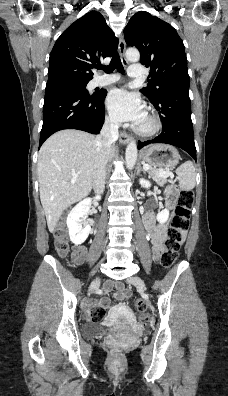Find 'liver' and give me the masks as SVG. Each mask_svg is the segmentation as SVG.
Returning <instances> with one entry per match:
<instances>
[{"label":"liver","instance_id":"liver-1","mask_svg":"<svg viewBox=\"0 0 228 396\" xmlns=\"http://www.w3.org/2000/svg\"><path fill=\"white\" fill-rule=\"evenodd\" d=\"M96 137L80 130H62L49 137L39 151L40 200L48 229L54 228L70 205L86 197L93 186ZM115 152L112 148L111 156ZM76 180L72 182V179Z\"/></svg>","mask_w":228,"mask_h":396}]
</instances>
